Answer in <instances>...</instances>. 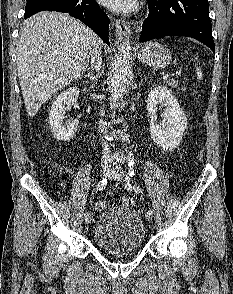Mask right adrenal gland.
Returning <instances> with one entry per match:
<instances>
[{
  "instance_id": "2a0ac1e0",
  "label": "right adrenal gland",
  "mask_w": 233,
  "mask_h": 294,
  "mask_svg": "<svg viewBox=\"0 0 233 294\" xmlns=\"http://www.w3.org/2000/svg\"><path fill=\"white\" fill-rule=\"evenodd\" d=\"M101 75H102L101 72H99V73L96 74V75L88 73V74L86 75V77H87L89 80H95V79L99 78Z\"/></svg>"
}]
</instances>
